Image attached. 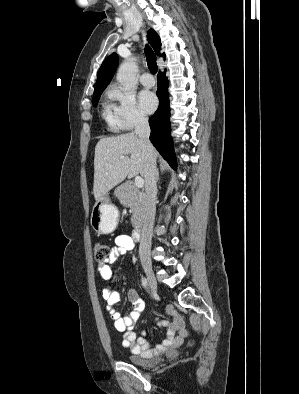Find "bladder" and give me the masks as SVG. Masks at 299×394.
Returning <instances> with one entry per match:
<instances>
[{
    "instance_id": "obj_1",
    "label": "bladder",
    "mask_w": 299,
    "mask_h": 394,
    "mask_svg": "<svg viewBox=\"0 0 299 394\" xmlns=\"http://www.w3.org/2000/svg\"><path fill=\"white\" fill-rule=\"evenodd\" d=\"M127 359L130 363L138 367H153L159 362L158 359H150L133 353L128 354Z\"/></svg>"
}]
</instances>
